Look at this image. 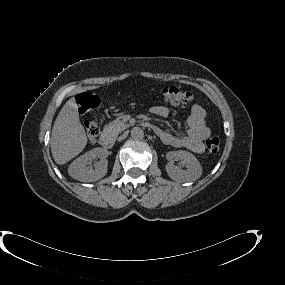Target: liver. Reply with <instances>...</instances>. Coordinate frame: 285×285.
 Returning a JSON list of instances; mask_svg holds the SVG:
<instances>
[{
    "label": "liver",
    "mask_w": 285,
    "mask_h": 285,
    "mask_svg": "<svg viewBox=\"0 0 285 285\" xmlns=\"http://www.w3.org/2000/svg\"><path fill=\"white\" fill-rule=\"evenodd\" d=\"M77 108L75 99H69L58 114L52 129L51 152L54 161L59 165L76 157L87 144Z\"/></svg>",
    "instance_id": "1"
}]
</instances>
